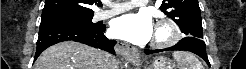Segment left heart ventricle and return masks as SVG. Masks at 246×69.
<instances>
[{"mask_svg": "<svg viewBox=\"0 0 246 69\" xmlns=\"http://www.w3.org/2000/svg\"><path fill=\"white\" fill-rule=\"evenodd\" d=\"M156 36L163 37V36H165V33L162 31H159L158 33L155 32L154 37H156Z\"/></svg>", "mask_w": 246, "mask_h": 69, "instance_id": "left-heart-ventricle-1", "label": "left heart ventricle"}]
</instances>
